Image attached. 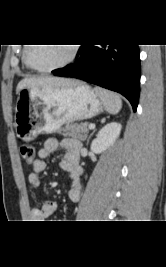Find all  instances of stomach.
<instances>
[{"label":"stomach","instance_id":"1","mask_svg":"<svg viewBox=\"0 0 166 267\" xmlns=\"http://www.w3.org/2000/svg\"><path fill=\"white\" fill-rule=\"evenodd\" d=\"M104 107L96 92L81 83L72 87L24 88L15 107L16 134L29 142L39 134L56 132L63 124L90 119Z\"/></svg>","mask_w":166,"mask_h":267}]
</instances>
